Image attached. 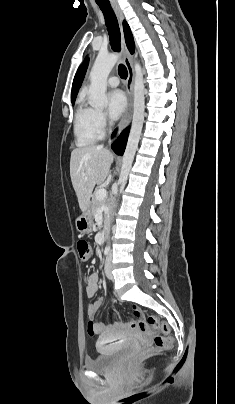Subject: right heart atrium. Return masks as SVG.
<instances>
[{"label": "right heart atrium", "instance_id": "1", "mask_svg": "<svg viewBox=\"0 0 235 404\" xmlns=\"http://www.w3.org/2000/svg\"><path fill=\"white\" fill-rule=\"evenodd\" d=\"M95 119H96L97 126L101 131H103L104 129H106L108 127L109 121H108L106 114L103 111L96 110Z\"/></svg>", "mask_w": 235, "mask_h": 404}]
</instances>
